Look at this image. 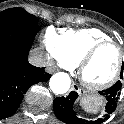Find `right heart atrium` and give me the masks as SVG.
<instances>
[{
	"mask_svg": "<svg viewBox=\"0 0 124 124\" xmlns=\"http://www.w3.org/2000/svg\"><path fill=\"white\" fill-rule=\"evenodd\" d=\"M42 44L48 54L49 59L57 60L62 66L66 68L73 66L69 64L64 54L62 53L60 48L59 35L55 32L54 29H46L42 36Z\"/></svg>",
	"mask_w": 124,
	"mask_h": 124,
	"instance_id": "obj_1",
	"label": "right heart atrium"
}]
</instances>
